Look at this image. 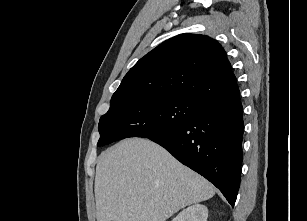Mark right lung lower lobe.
<instances>
[{
  "label": "right lung lower lobe",
  "instance_id": "98d812e1",
  "mask_svg": "<svg viewBox=\"0 0 307 221\" xmlns=\"http://www.w3.org/2000/svg\"><path fill=\"white\" fill-rule=\"evenodd\" d=\"M243 108L240 93L212 102L187 123L149 137L213 183L233 206L240 187Z\"/></svg>",
  "mask_w": 307,
  "mask_h": 221
}]
</instances>
